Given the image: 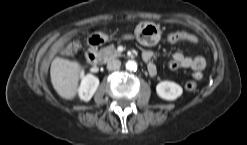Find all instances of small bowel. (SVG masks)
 <instances>
[{"label": "small bowel", "instance_id": "c3829d8e", "mask_svg": "<svg viewBox=\"0 0 247 145\" xmlns=\"http://www.w3.org/2000/svg\"><path fill=\"white\" fill-rule=\"evenodd\" d=\"M180 33L183 35L182 41H186V42L193 43V44L198 42V38L194 34L187 33V32H180ZM153 56H154V52L152 50H146L143 53V57L145 61L149 62L148 64H153L150 62ZM205 65H206V61L202 56L190 57L182 53H175L172 56V59L170 61L171 69L173 70H177L180 68L190 69L193 72L194 77L198 72H201L205 68ZM149 73L152 76H154L156 75L157 70L155 73H152L150 71Z\"/></svg>", "mask_w": 247, "mask_h": 145}]
</instances>
